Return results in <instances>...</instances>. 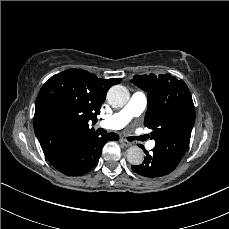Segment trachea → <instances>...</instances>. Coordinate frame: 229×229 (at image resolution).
Here are the masks:
<instances>
[{"label": "trachea", "instance_id": "obj_1", "mask_svg": "<svg viewBox=\"0 0 229 229\" xmlns=\"http://www.w3.org/2000/svg\"><path fill=\"white\" fill-rule=\"evenodd\" d=\"M97 131L100 132V133H106V131L104 129H102V128H98Z\"/></svg>", "mask_w": 229, "mask_h": 229}]
</instances>
